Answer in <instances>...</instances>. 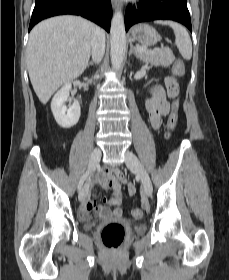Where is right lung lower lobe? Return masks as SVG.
I'll return each instance as SVG.
<instances>
[{
	"label": "right lung lower lobe",
	"mask_w": 229,
	"mask_h": 280,
	"mask_svg": "<svg viewBox=\"0 0 229 280\" xmlns=\"http://www.w3.org/2000/svg\"><path fill=\"white\" fill-rule=\"evenodd\" d=\"M63 14L80 15L110 31V0H35L29 31L39 21Z\"/></svg>",
	"instance_id": "98d812e1"
}]
</instances>
